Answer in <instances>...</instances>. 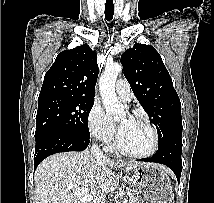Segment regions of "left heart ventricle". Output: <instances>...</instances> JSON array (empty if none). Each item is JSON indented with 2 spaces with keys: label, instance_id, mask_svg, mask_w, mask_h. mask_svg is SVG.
Instances as JSON below:
<instances>
[{
  "label": "left heart ventricle",
  "instance_id": "left-heart-ventricle-1",
  "mask_svg": "<svg viewBox=\"0 0 214 203\" xmlns=\"http://www.w3.org/2000/svg\"><path fill=\"white\" fill-rule=\"evenodd\" d=\"M119 129L122 145L128 151L143 153L151 148L153 136L144 124L123 116L119 120Z\"/></svg>",
  "mask_w": 214,
  "mask_h": 203
}]
</instances>
